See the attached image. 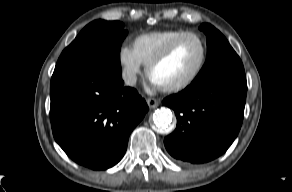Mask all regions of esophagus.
<instances>
[{
    "instance_id": "1",
    "label": "esophagus",
    "mask_w": 292,
    "mask_h": 192,
    "mask_svg": "<svg viewBox=\"0 0 292 192\" xmlns=\"http://www.w3.org/2000/svg\"><path fill=\"white\" fill-rule=\"evenodd\" d=\"M146 102H147L149 108H152V109L156 108L159 105L158 100L155 98H148L146 100Z\"/></svg>"
}]
</instances>
